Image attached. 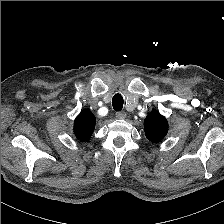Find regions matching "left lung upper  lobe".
Here are the masks:
<instances>
[{"instance_id":"5c2ea615","label":"left lung upper lobe","mask_w":224,"mask_h":224,"mask_svg":"<svg viewBox=\"0 0 224 224\" xmlns=\"http://www.w3.org/2000/svg\"><path fill=\"white\" fill-rule=\"evenodd\" d=\"M145 135L151 142L161 141L168 132V122L158 111L150 112L144 120Z\"/></svg>"}]
</instances>
